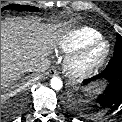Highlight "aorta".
Here are the masks:
<instances>
[{"instance_id": "obj_1", "label": "aorta", "mask_w": 122, "mask_h": 122, "mask_svg": "<svg viewBox=\"0 0 122 122\" xmlns=\"http://www.w3.org/2000/svg\"><path fill=\"white\" fill-rule=\"evenodd\" d=\"M50 86L52 89L59 91L63 87L62 80L58 77H53L50 82Z\"/></svg>"}]
</instances>
